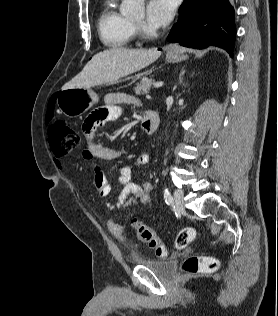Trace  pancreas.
<instances>
[{"instance_id":"cf45deb5","label":"pancreas","mask_w":278,"mask_h":316,"mask_svg":"<svg viewBox=\"0 0 278 316\" xmlns=\"http://www.w3.org/2000/svg\"><path fill=\"white\" fill-rule=\"evenodd\" d=\"M153 84H155V80L144 77L141 79L139 83H137L136 87L134 88V91L137 95L147 94L149 93L151 86Z\"/></svg>"}]
</instances>
